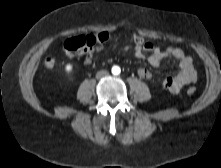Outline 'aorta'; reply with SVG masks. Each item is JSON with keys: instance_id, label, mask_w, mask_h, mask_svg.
<instances>
[{"instance_id": "1", "label": "aorta", "mask_w": 221, "mask_h": 168, "mask_svg": "<svg viewBox=\"0 0 221 168\" xmlns=\"http://www.w3.org/2000/svg\"><path fill=\"white\" fill-rule=\"evenodd\" d=\"M112 73L114 74V75H117V74H119L120 73V68L119 67H113L112 68Z\"/></svg>"}]
</instances>
